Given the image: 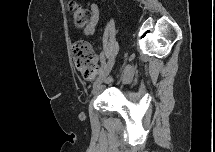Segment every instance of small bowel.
Segmentation results:
<instances>
[{
  "label": "small bowel",
  "mask_w": 215,
  "mask_h": 152,
  "mask_svg": "<svg viewBox=\"0 0 215 152\" xmlns=\"http://www.w3.org/2000/svg\"><path fill=\"white\" fill-rule=\"evenodd\" d=\"M88 11L90 12V21L84 27L83 32L86 36H92L95 33L98 22H99L100 9L96 3H89ZM124 77H125V79L130 80L132 76L130 73H127Z\"/></svg>",
  "instance_id": "1"
}]
</instances>
